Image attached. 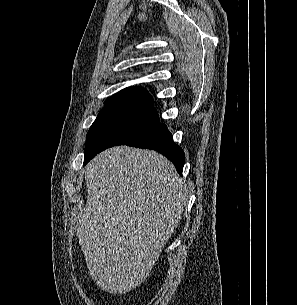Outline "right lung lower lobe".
<instances>
[{
    "instance_id": "obj_1",
    "label": "right lung lower lobe",
    "mask_w": 297,
    "mask_h": 305,
    "mask_svg": "<svg viewBox=\"0 0 297 305\" xmlns=\"http://www.w3.org/2000/svg\"><path fill=\"white\" fill-rule=\"evenodd\" d=\"M125 145L152 149L165 157H167L176 167L177 172L181 175L185 163V154L183 150L174 143L172 134L169 132L167 126L163 123H158L153 128L146 131L144 134L136 137L126 143ZM98 150L94 152L87 160L88 163L97 153L103 151Z\"/></svg>"
}]
</instances>
